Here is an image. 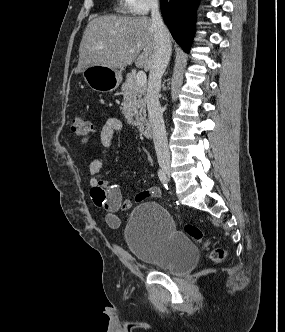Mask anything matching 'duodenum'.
I'll list each match as a JSON object with an SVG mask.
<instances>
[{
  "mask_svg": "<svg viewBox=\"0 0 285 332\" xmlns=\"http://www.w3.org/2000/svg\"><path fill=\"white\" fill-rule=\"evenodd\" d=\"M139 132L142 136L150 138L152 136V126L149 122H144L139 126Z\"/></svg>",
  "mask_w": 285,
  "mask_h": 332,
  "instance_id": "1",
  "label": "duodenum"
}]
</instances>
